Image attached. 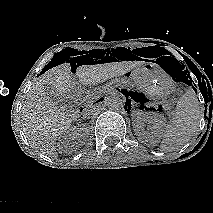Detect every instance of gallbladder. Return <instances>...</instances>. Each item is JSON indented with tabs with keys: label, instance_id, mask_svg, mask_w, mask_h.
<instances>
[{
	"label": "gallbladder",
	"instance_id": "gallbladder-1",
	"mask_svg": "<svg viewBox=\"0 0 213 213\" xmlns=\"http://www.w3.org/2000/svg\"><path fill=\"white\" fill-rule=\"evenodd\" d=\"M50 100L57 106L63 109L69 108V99L66 96L58 94L52 86H49L46 90Z\"/></svg>",
	"mask_w": 213,
	"mask_h": 213
}]
</instances>
